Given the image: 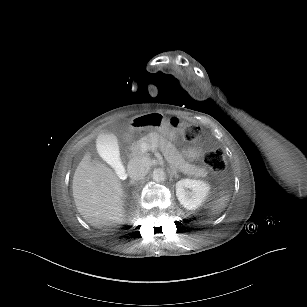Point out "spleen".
Masks as SVG:
<instances>
[{
  "mask_svg": "<svg viewBox=\"0 0 307 307\" xmlns=\"http://www.w3.org/2000/svg\"><path fill=\"white\" fill-rule=\"evenodd\" d=\"M233 193L230 189H223L214 199V202L209 204L206 212L209 216L214 217L218 215L225 207V205L232 199Z\"/></svg>",
  "mask_w": 307,
  "mask_h": 307,
  "instance_id": "spleen-1",
  "label": "spleen"
}]
</instances>
